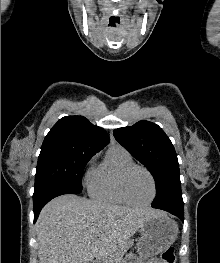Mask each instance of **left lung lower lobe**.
Returning <instances> with one entry per match:
<instances>
[{"label":"left lung lower lobe","instance_id":"left-lung-lower-lobe-1","mask_svg":"<svg viewBox=\"0 0 220 263\" xmlns=\"http://www.w3.org/2000/svg\"><path fill=\"white\" fill-rule=\"evenodd\" d=\"M170 212L173 215H176L177 217H179L183 222H184V210H165Z\"/></svg>","mask_w":220,"mask_h":263}]
</instances>
